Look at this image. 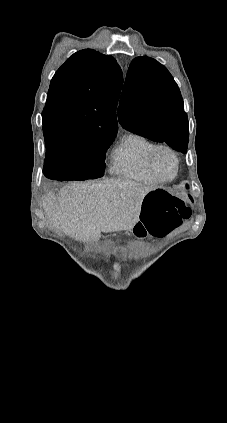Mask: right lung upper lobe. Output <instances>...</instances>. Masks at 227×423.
<instances>
[{"instance_id":"right-lung-upper-lobe-1","label":"right lung upper lobe","mask_w":227,"mask_h":423,"mask_svg":"<svg viewBox=\"0 0 227 423\" xmlns=\"http://www.w3.org/2000/svg\"><path fill=\"white\" fill-rule=\"evenodd\" d=\"M122 84V71L114 57L93 49L73 54L50 84L42 112L45 142L116 136Z\"/></svg>"}]
</instances>
